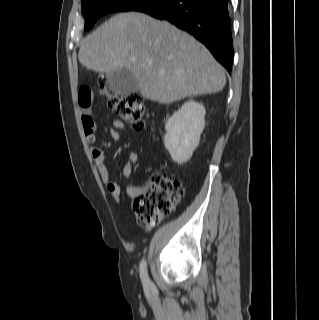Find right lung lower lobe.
I'll list each match as a JSON object with an SVG mask.
<instances>
[{"label": "right lung lower lobe", "mask_w": 319, "mask_h": 320, "mask_svg": "<svg viewBox=\"0 0 319 320\" xmlns=\"http://www.w3.org/2000/svg\"><path fill=\"white\" fill-rule=\"evenodd\" d=\"M228 1L157 0L137 11L170 21L189 32L201 41L230 73L233 42Z\"/></svg>", "instance_id": "1"}]
</instances>
